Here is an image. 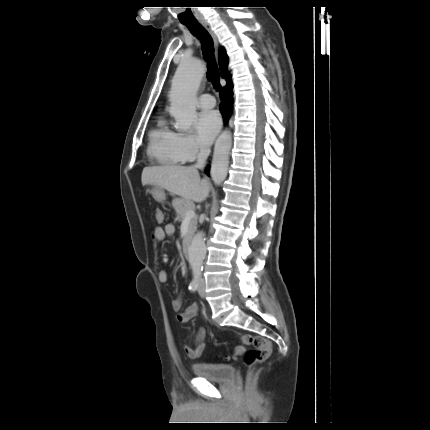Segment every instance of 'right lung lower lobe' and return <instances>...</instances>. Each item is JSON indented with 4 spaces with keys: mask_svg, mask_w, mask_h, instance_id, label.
<instances>
[{
    "mask_svg": "<svg viewBox=\"0 0 430 430\" xmlns=\"http://www.w3.org/2000/svg\"><path fill=\"white\" fill-rule=\"evenodd\" d=\"M233 85H228L222 88L220 111L224 116V122L227 123L232 113L233 108ZM209 168H206L205 173L208 174Z\"/></svg>",
    "mask_w": 430,
    "mask_h": 430,
    "instance_id": "98d812e1",
    "label": "right lung lower lobe"
}]
</instances>
